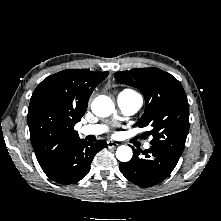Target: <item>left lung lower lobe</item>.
Segmentation results:
<instances>
[{
  "mask_svg": "<svg viewBox=\"0 0 221 221\" xmlns=\"http://www.w3.org/2000/svg\"><path fill=\"white\" fill-rule=\"evenodd\" d=\"M130 162L120 163L121 173L132 183L140 187H151L166 179L175 168L180 156L161 147L151 146L142 152L133 148Z\"/></svg>",
  "mask_w": 221,
  "mask_h": 221,
  "instance_id": "1",
  "label": "left lung lower lobe"
}]
</instances>
